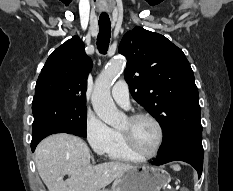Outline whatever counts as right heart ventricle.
Instances as JSON below:
<instances>
[{"label":"right heart ventricle","mask_w":233,"mask_h":191,"mask_svg":"<svg viewBox=\"0 0 233 191\" xmlns=\"http://www.w3.org/2000/svg\"><path fill=\"white\" fill-rule=\"evenodd\" d=\"M114 134V143L107 154L109 159L123 162H141L143 160L128 148L120 131L114 130Z\"/></svg>","instance_id":"obj_1"}]
</instances>
